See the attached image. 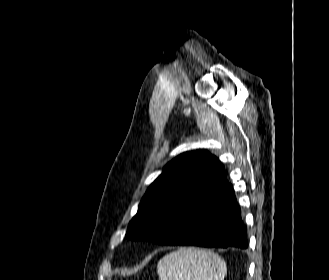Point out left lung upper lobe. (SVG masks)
Returning a JSON list of instances; mask_svg holds the SVG:
<instances>
[{
	"instance_id": "1",
	"label": "left lung upper lobe",
	"mask_w": 329,
	"mask_h": 280,
	"mask_svg": "<svg viewBox=\"0 0 329 280\" xmlns=\"http://www.w3.org/2000/svg\"><path fill=\"white\" fill-rule=\"evenodd\" d=\"M226 180L219 160L205 150L185 152L169 162L150 185L130 221L126 238L159 244L171 241L160 232L176 221L184 207Z\"/></svg>"
}]
</instances>
